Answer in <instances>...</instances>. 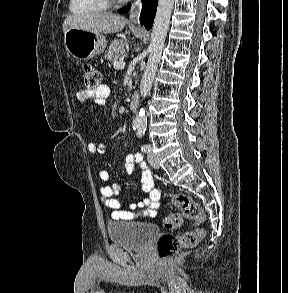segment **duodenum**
<instances>
[{"mask_svg":"<svg viewBox=\"0 0 288 293\" xmlns=\"http://www.w3.org/2000/svg\"><path fill=\"white\" fill-rule=\"evenodd\" d=\"M129 106L132 111H136L139 106V95L137 93H133L129 100Z\"/></svg>","mask_w":288,"mask_h":293,"instance_id":"1","label":"duodenum"}]
</instances>
